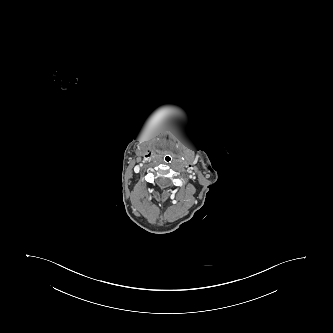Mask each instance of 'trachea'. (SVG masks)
<instances>
[{"label": "trachea", "mask_w": 333, "mask_h": 333, "mask_svg": "<svg viewBox=\"0 0 333 333\" xmlns=\"http://www.w3.org/2000/svg\"><path fill=\"white\" fill-rule=\"evenodd\" d=\"M161 162L166 166V167H171L175 163V158L170 154V153H165L161 157Z\"/></svg>", "instance_id": "trachea-1"}]
</instances>
